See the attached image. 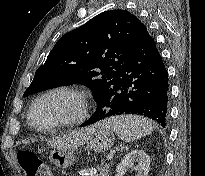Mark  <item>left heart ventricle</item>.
<instances>
[{"instance_id":"left-heart-ventricle-1","label":"left heart ventricle","mask_w":205,"mask_h":176,"mask_svg":"<svg viewBox=\"0 0 205 176\" xmlns=\"http://www.w3.org/2000/svg\"><path fill=\"white\" fill-rule=\"evenodd\" d=\"M76 105L72 99L56 95L41 102L33 114V122L38 126H48L73 115Z\"/></svg>"}]
</instances>
